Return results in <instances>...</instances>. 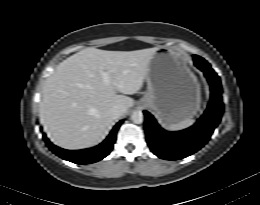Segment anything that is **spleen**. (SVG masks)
Instances as JSON below:
<instances>
[{
	"mask_svg": "<svg viewBox=\"0 0 260 205\" xmlns=\"http://www.w3.org/2000/svg\"><path fill=\"white\" fill-rule=\"evenodd\" d=\"M193 123H194L193 119L187 118L177 124L169 125L168 129L171 131L182 130V129H185V128L191 126Z\"/></svg>",
	"mask_w": 260,
	"mask_h": 205,
	"instance_id": "spleen-1",
	"label": "spleen"
}]
</instances>
